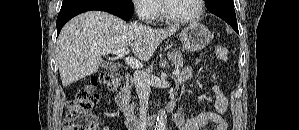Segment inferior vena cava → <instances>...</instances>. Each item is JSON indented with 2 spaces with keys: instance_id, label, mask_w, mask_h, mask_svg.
<instances>
[{
  "instance_id": "1",
  "label": "inferior vena cava",
  "mask_w": 299,
  "mask_h": 130,
  "mask_svg": "<svg viewBox=\"0 0 299 130\" xmlns=\"http://www.w3.org/2000/svg\"><path fill=\"white\" fill-rule=\"evenodd\" d=\"M134 84L136 92L140 101V116L138 122V130H146L147 127V112H148V101L150 96V84L149 75L145 71H135L134 73Z\"/></svg>"
}]
</instances>
